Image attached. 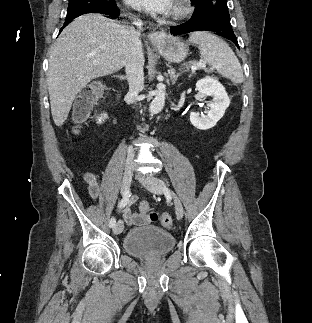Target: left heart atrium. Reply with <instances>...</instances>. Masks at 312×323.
I'll return each instance as SVG.
<instances>
[{"label": "left heart atrium", "mask_w": 312, "mask_h": 323, "mask_svg": "<svg viewBox=\"0 0 312 323\" xmlns=\"http://www.w3.org/2000/svg\"><path fill=\"white\" fill-rule=\"evenodd\" d=\"M126 4L136 12H170L174 7L172 0H126Z\"/></svg>", "instance_id": "obj_1"}]
</instances>
